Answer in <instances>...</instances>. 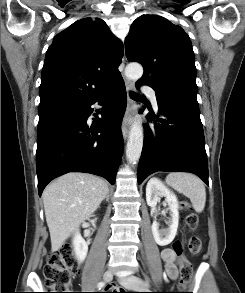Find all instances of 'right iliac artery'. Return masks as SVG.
Masks as SVG:
<instances>
[{
  "mask_svg": "<svg viewBox=\"0 0 245 293\" xmlns=\"http://www.w3.org/2000/svg\"><path fill=\"white\" fill-rule=\"evenodd\" d=\"M104 286H105V283H104V282H99L98 285H97V287H98L99 289H101V288L104 287Z\"/></svg>",
  "mask_w": 245,
  "mask_h": 293,
  "instance_id": "right-iliac-artery-1",
  "label": "right iliac artery"
}]
</instances>
